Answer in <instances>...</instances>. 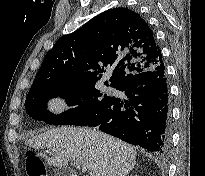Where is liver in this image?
Segmentation results:
<instances>
[{"instance_id": "1", "label": "liver", "mask_w": 205, "mask_h": 176, "mask_svg": "<svg viewBox=\"0 0 205 176\" xmlns=\"http://www.w3.org/2000/svg\"><path fill=\"white\" fill-rule=\"evenodd\" d=\"M25 144L51 150V157L40 153L50 166L66 168L73 161L86 166L91 176H126L136 163L137 152L131 145L94 129L58 127Z\"/></svg>"}]
</instances>
